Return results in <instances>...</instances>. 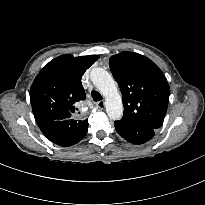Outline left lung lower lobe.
Masks as SVG:
<instances>
[{"label": "left lung lower lobe", "mask_w": 205, "mask_h": 205, "mask_svg": "<svg viewBox=\"0 0 205 205\" xmlns=\"http://www.w3.org/2000/svg\"><path fill=\"white\" fill-rule=\"evenodd\" d=\"M115 129L125 140L137 145L149 141L155 134V129L124 118L115 121Z\"/></svg>", "instance_id": "0a47b994"}]
</instances>
